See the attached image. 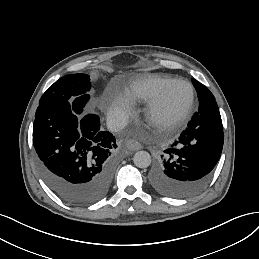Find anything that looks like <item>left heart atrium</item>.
<instances>
[{
	"mask_svg": "<svg viewBox=\"0 0 259 259\" xmlns=\"http://www.w3.org/2000/svg\"><path fill=\"white\" fill-rule=\"evenodd\" d=\"M167 151L173 152L175 154H180L183 151V149L179 147H169L167 148Z\"/></svg>",
	"mask_w": 259,
	"mask_h": 259,
	"instance_id": "1",
	"label": "left heart atrium"
}]
</instances>
